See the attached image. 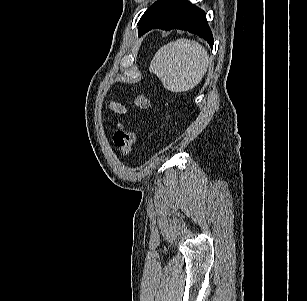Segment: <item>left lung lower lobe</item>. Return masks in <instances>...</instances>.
<instances>
[{
	"mask_svg": "<svg viewBox=\"0 0 307 301\" xmlns=\"http://www.w3.org/2000/svg\"><path fill=\"white\" fill-rule=\"evenodd\" d=\"M153 28L166 31L171 29L189 31L205 39L211 48L213 47L214 39L206 20L205 12L188 0H179L165 17L156 24L148 27L142 34Z\"/></svg>",
	"mask_w": 307,
	"mask_h": 301,
	"instance_id": "left-lung-lower-lobe-1",
	"label": "left lung lower lobe"
}]
</instances>
